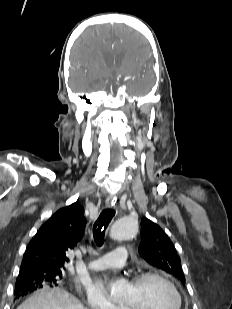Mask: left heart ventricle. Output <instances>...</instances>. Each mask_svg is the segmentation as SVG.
<instances>
[{"instance_id": "1", "label": "left heart ventricle", "mask_w": 232, "mask_h": 309, "mask_svg": "<svg viewBox=\"0 0 232 309\" xmlns=\"http://www.w3.org/2000/svg\"><path fill=\"white\" fill-rule=\"evenodd\" d=\"M122 304L134 309H174L177 300L167 284L159 279H149L137 285L130 283Z\"/></svg>"}]
</instances>
